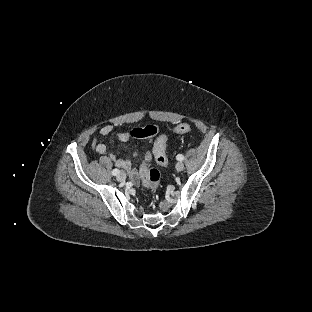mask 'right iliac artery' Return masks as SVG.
I'll list each match as a JSON object with an SVG mask.
<instances>
[{"mask_svg": "<svg viewBox=\"0 0 312 312\" xmlns=\"http://www.w3.org/2000/svg\"><path fill=\"white\" fill-rule=\"evenodd\" d=\"M119 173H120V171H119L118 169H113V170H112V174H113L114 176H117Z\"/></svg>", "mask_w": 312, "mask_h": 312, "instance_id": "obj_1", "label": "right iliac artery"}]
</instances>
